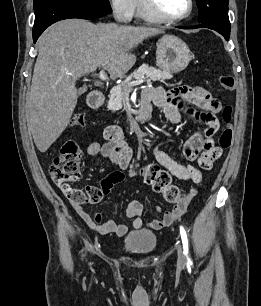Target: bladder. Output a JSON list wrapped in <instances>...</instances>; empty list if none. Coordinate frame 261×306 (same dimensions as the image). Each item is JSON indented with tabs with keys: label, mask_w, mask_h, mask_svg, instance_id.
Masks as SVG:
<instances>
[{
	"label": "bladder",
	"mask_w": 261,
	"mask_h": 306,
	"mask_svg": "<svg viewBox=\"0 0 261 306\" xmlns=\"http://www.w3.org/2000/svg\"><path fill=\"white\" fill-rule=\"evenodd\" d=\"M156 245L157 237L148 229L131 231L123 239L124 249L138 255H146L153 252Z\"/></svg>",
	"instance_id": "bladder-1"
}]
</instances>
